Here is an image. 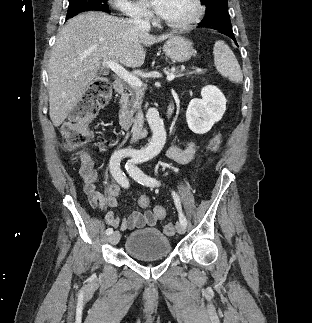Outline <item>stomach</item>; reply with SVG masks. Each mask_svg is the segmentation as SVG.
Returning a JSON list of instances; mask_svg holds the SVG:
<instances>
[{
    "label": "stomach",
    "instance_id": "obj_1",
    "mask_svg": "<svg viewBox=\"0 0 312 323\" xmlns=\"http://www.w3.org/2000/svg\"><path fill=\"white\" fill-rule=\"evenodd\" d=\"M163 50L172 62H187L195 52L192 42H189L187 38H181V36H170L169 40L165 42Z\"/></svg>",
    "mask_w": 312,
    "mask_h": 323
}]
</instances>
